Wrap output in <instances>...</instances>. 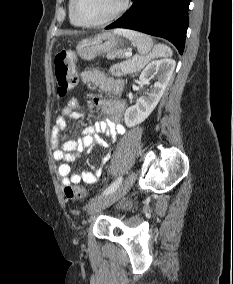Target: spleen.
Returning <instances> with one entry per match:
<instances>
[{"instance_id":"spleen-1","label":"spleen","mask_w":233,"mask_h":284,"mask_svg":"<svg viewBox=\"0 0 233 284\" xmlns=\"http://www.w3.org/2000/svg\"><path fill=\"white\" fill-rule=\"evenodd\" d=\"M115 32L132 41L139 54L145 59L172 55V50L167 45H154L152 38L146 34L127 29H119Z\"/></svg>"}]
</instances>
